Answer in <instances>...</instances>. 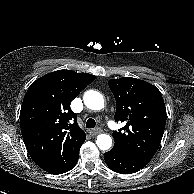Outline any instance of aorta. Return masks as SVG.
<instances>
[{"mask_svg": "<svg viewBox=\"0 0 194 194\" xmlns=\"http://www.w3.org/2000/svg\"><path fill=\"white\" fill-rule=\"evenodd\" d=\"M85 105L91 110H101L104 107V99L101 93L89 90L83 96ZM96 144L100 150H109L112 146V138L108 134H99Z\"/></svg>", "mask_w": 194, "mask_h": 194, "instance_id": "1", "label": "aorta"}]
</instances>
